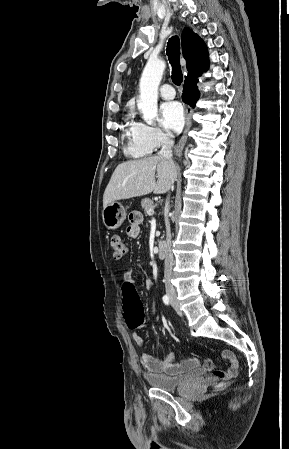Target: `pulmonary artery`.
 <instances>
[{
  "label": "pulmonary artery",
  "mask_w": 289,
  "mask_h": 449,
  "mask_svg": "<svg viewBox=\"0 0 289 449\" xmlns=\"http://www.w3.org/2000/svg\"><path fill=\"white\" fill-rule=\"evenodd\" d=\"M159 93L164 99H173L175 97V90L170 84H163L159 88Z\"/></svg>",
  "instance_id": "1"
}]
</instances>
